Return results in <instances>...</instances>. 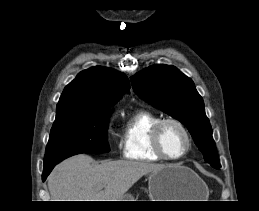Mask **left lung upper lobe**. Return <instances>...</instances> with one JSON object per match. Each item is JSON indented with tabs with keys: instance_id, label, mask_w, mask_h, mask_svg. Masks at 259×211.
Returning <instances> with one entry per match:
<instances>
[{
	"instance_id": "5c2ea615",
	"label": "left lung upper lobe",
	"mask_w": 259,
	"mask_h": 211,
	"mask_svg": "<svg viewBox=\"0 0 259 211\" xmlns=\"http://www.w3.org/2000/svg\"><path fill=\"white\" fill-rule=\"evenodd\" d=\"M134 91L154 107L183 123L207 163L218 169L212 128L193 81L170 65H154L131 77Z\"/></svg>"
}]
</instances>
